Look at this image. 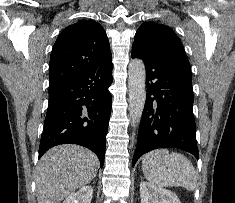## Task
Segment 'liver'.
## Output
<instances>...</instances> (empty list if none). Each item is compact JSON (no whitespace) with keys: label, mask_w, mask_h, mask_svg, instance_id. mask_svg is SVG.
<instances>
[{"label":"liver","mask_w":235,"mask_h":203,"mask_svg":"<svg viewBox=\"0 0 235 203\" xmlns=\"http://www.w3.org/2000/svg\"><path fill=\"white\" fill-rule=\"evenodd\" d=\"M98 159L87 148L59 145L40 159L36 174L38 203H60L96 176Z\"/></svg>","instance_id":"1"}]
</instances>
